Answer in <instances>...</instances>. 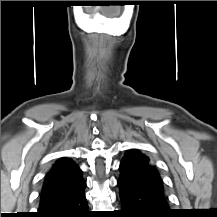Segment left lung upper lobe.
Returning <instances> with one entry per match:
<instances>
[{
	"label": "left lung upper lobe",
	"instance_id": "left-lung-upper-lobe-1",
	"mask_svg": "<svg viewBox=\"0 0 217 217\" xmlns=\"http://www.w3.org/2000/svg\"><path fill=\"white\" fill-rule=\"evenodd\" d=\"M120 167H124V172L134 182L164 189L163 181L157 168L140 151H128L123 157Z\"/></svg>",
	"mask_w": 217,
	"mask_h": 217
}]
</instances>
